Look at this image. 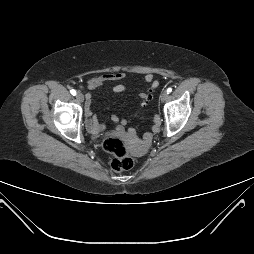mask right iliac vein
<instances>
[{"label":"right iliac vein","mask_w":254,"mask_h":254,"mask_svg":"<svg viewBox=\"0 0 254 254\" xmlns=\"http://www.w3.org/2000/svg\"><path fill=\"white\" fill-rule=\"evenodd\" d=\"M76 98H77V100H78L79 102H83V101H84V96H83V94L80 93V92L77 93Z\"/></svg>","instance_id":"63e3f726"}]
</instances>
